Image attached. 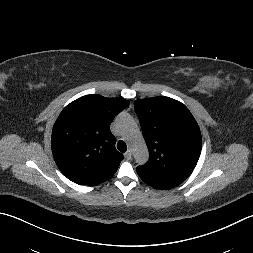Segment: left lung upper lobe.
I'll list each match as a JSON object with an SVG mask.
<instances>
[{
    "mask_svg": "<svg viewBox=\"0 0 253 253\" xmlns=\"http://www.w3.org/2000/svg\"><path fill=\"white\" fill-rule=\"evenodd\" d=\"M135 111L149 150L136 171L147 184L178 186L194 170L201 153L199 126L188 108L168 97L136 100Z\"/></svg>",
    "mask_w": 253,
    "mask_h": 253,
    "instance_id": "5c2ea615",
    "label": "left lung upper lobe"
}]
</instances>
